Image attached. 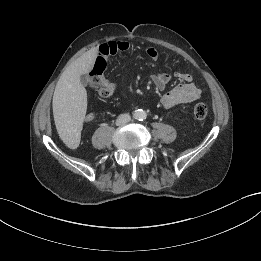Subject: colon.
<instances>
[{
	"mask_svg": "<svg viewBox=\"0 0 261 261\" xmlns=\"http://www.w3.org/2000/svg\"><path fill=\"white\" fill-rule=\"evenodd\" d=\"M105 66L102 63L94 65L88 85L97 92L100 96H109L112 93V88L108 84L107 80L103 77ZM208 114V107L205 103H198L194 107V116L198 120H203Z\"/></svg>",
	"mask_w": 261,
	"mask_h": 261,
	"instance_id": "colon-1",
	"label": "colon"
}]
</instances>
